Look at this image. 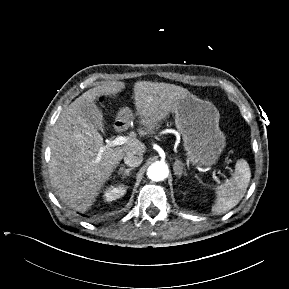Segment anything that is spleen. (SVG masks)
I'll list each match as a JSON object with an SVG mask.
<instances>
[{
  "label": "spleen",
  "instance_id": "obj_1",
  "mask_svg": "<svg viewBox=\"0 0 289 289\" xmlns=\"http://www.w3.org/2000/svg\"><path fill=\"white\" fill-rule=\"evenodd\" d=\"M250 178L249 164L244 159L238 160L233 176L215 187L216 200L212 206V212L222 214L235 207L244 197Z\"/></svg>",
  "mask_w": 289,
  "mask_h": 289
}]
</instances>
